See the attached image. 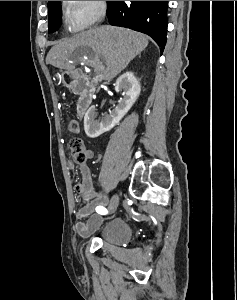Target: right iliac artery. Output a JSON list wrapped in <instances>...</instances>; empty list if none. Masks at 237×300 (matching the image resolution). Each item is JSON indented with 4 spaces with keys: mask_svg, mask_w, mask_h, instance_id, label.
<instances>
[{
    "mask_svg": "<svg viewBox=\"0 0 237 300\" xmlns=\"http://www.w3.org/2000/svg\"><path fill=\"white\" fill-rule=\"evenodd\" d=\"M96 211H97L99 214H106V213H108L107 209L104 208L103 206H97V207H96Z\"/></svg>",
    "mask_w": 237,
    "mask_h": 300,
    "instance_id": "1",
    "label": "right iliac artery"
}]
</instances>
